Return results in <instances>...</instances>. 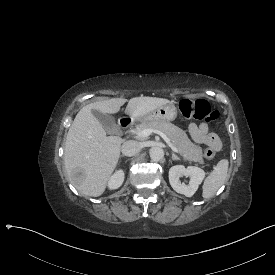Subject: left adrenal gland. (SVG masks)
<instances>
[{
  "label": "left adrenal gland",
  "instance_id": "1",
  "mask_svg": "<svg viewBox=\"0 0 275 275\" xmlns=\"http://www.w3.org/2000/svg\"><path fill=\"white\" fill-rule=\"evenodd\" d=\"M166 155L168 156L169 153L166 152ZM172 160H180V158L175 153H172Z\"/></svg>",
  "mask_w": 275,
  "mask_h": 275
}]
</instances>
